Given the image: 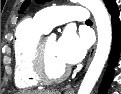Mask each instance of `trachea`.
Wrapping results in <instances>:
<instances>
[{
    "instance_id": "obj_1",
    "label": "trachea",
    "mask_w": 121,
    "mask_h": 94,
    "mask_svg": "<svg viewBox=\"0 0 121 94\" xmlns=\"http://www.w3.org/2000/svg\"><path fill=\"white\" fill-rule=\"evenodd\" d=\"M86 22H91V20H90V19H88Z\"/></svg>"
}]
</instances>
